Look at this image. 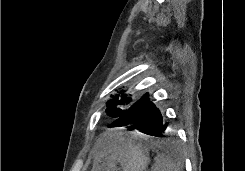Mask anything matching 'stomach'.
Returning <instances> with one entry per match:
<instances>
[{
  "instance_id": "0dacf381",
  "label": "stomach",
  "mask_w": 245,
  "mask_h": 171,
  "mask_svg": "<svg viewBox=\"0 0 245 171\" xmlns=\"http://www.w3.org/2000/svg\"><path fill=\"white\" fill-rule=\"evenodd\" d=\"M149 151L136 133H109L95 152L91 171H146Z\"/></svg>"
}]
</instances>
